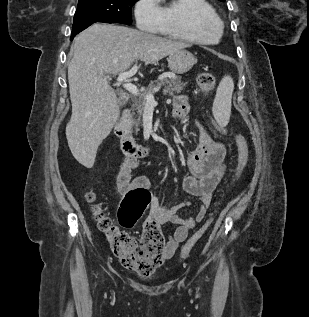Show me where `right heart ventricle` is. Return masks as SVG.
<instances>
[{
    "instance_id": "1",
    "label": "right heart ventricle",
    "mask_w": 309,
    "mask_h": 317,
    "mask_svg": "<svg viewBox=\"0 0 309 317\" xmlns=\"http://www.w3.org/2000/svg\"><path fill=\"white\" fill-rule=\"evenodd\" d=\"M161 7L162 24L156 33L185 42L214 44L221 34V20L207 0H169ZM204 15L214 22L212 29L200 31L194 20Z\"/></svg>"
}]
</instances>
